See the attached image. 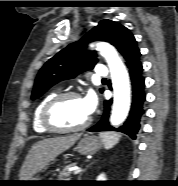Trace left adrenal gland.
<instances>
[{"mask_svg":"<svg viewBox=\"0 0 178 186\" xmlns=\"http://www.w3.org/2000/svg\"><path fill=\"white\" fill-rule=\"evenodd\" d=\"M83 172H85V170H84ZM81 176H82V173H81L80 176H79V179H78L79 181H80Z\"/></svg>","mask_w":178,"mask_h":186,"instance_id":"left-adrenal-gland-1","label":"left adrenal gland"}]
</instances>
